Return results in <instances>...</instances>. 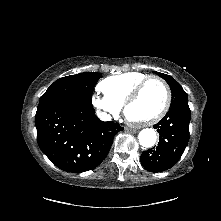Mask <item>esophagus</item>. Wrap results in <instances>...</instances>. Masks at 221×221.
Wrapping results in <instances>:
<instances>
[{
	"instance_id": "34e87169",
	"label": "esophagus",
	"mask_w": 221,
	"mask_h": 221,
	"mask_svg": "<svg viewBox=\"0 0 221 221\" xmlns=\"http://www.w3.org/2000/svg\"><path fill=\"white\" fill-rule=\"evenodd\" d=\"M125 131L129 132V133H132V134H135L137 132L136 129H131V128H128V127L125 128Z\"/></svg>"
}]
</instances>
